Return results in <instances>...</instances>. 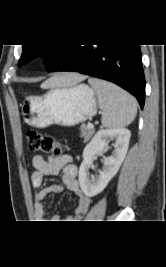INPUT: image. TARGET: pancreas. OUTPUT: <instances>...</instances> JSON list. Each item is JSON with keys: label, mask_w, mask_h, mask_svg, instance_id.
Segmentation results:
<instances>
[{"label": "pancreas", "mask_w": 166, "mask_h": 267, "mask_svg": "<svg viewBox=\"0 0 166 267\" xmlns=\"http://www.w3.org/2000/svg\"><path fill=\"white\" fill-rule=\"evenodd\" d=\"M81 137L84 138V142L89 141V139L93 136L95 130L93 128H88L86 126H81Z\"/></svg>", "instance_id": "pancreas-1"}]
</instances>
